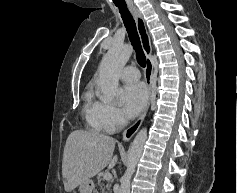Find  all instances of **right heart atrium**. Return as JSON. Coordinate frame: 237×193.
<instances>
[{"instance_id": "d8ad5b80", "label": "right heart atrium", "mask_w": 237, "mask_h": 193, "mask_svg": "<svg viewBox=\"0 0 237 193\" xmlns=\"http://www.w3.org/2000/svg\"><path fill=\"white\" fill-rule=\"evenodd\" d=\"M101 119L106 132L119 129L125 122L121 111L110 104L101 103Z\"/></svg>"}]
</instances>
